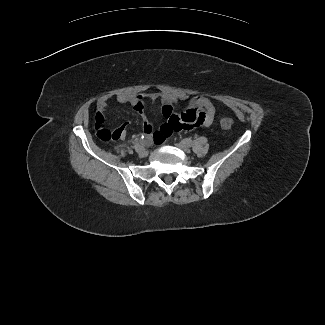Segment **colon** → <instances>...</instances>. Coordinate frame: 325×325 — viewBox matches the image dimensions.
Instances as JSON below:
<instances>
[{"instance_id":"obj_1","label":"colon","mask_w":325,"mask_h":325,"mask_svg":"<svg viewBox=\"0 0 325 325\" xmlns=\"http://www.w3.org/2000/svg\"><path fill=\"white\" fill-rule=\"evenodd\" d=\"M220 124L223 129L230 130L231 126H232V121L229 118L222 117L220 119ZM95 129H96V134L99 137V139H101L104 142L115 141V140H118L120 137V133L116 129L109 130V129L103 128L101 125H96Z\"/></svg>"}]
</instances>
